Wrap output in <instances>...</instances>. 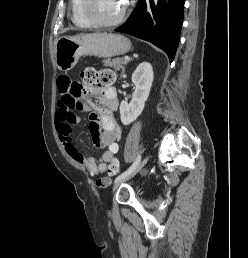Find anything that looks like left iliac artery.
Segmentation results:
<instances>
[{"instance_id": "1", "label": "left iliac artery", "mask_w": 248, "mask_h": 258, "mask_svg": "<svg viewBox=\"0 0 248 258\" xmlns=\"http://www.w3.org/2000/svg\"><path fill=\"white\" fill-rule=\"evenodd\" d=\"M141 161V155H138L137 158L135 159V161L133 162V164L126 170L124 171L122 174H120L119 176H117V178L115 179V183H117L118 181H120L121 179L125 178L127 175H129L134 169H136V167L139 165Z\"/></svg>"}]
</instances>
